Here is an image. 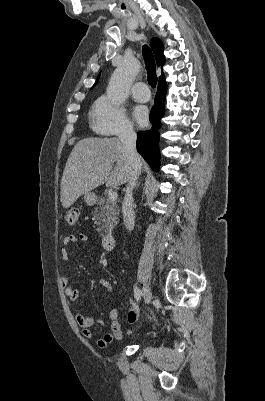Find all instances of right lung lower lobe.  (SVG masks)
<instances>
[{"label":"right lung lower lobe","instance_id":"right-lung-lower-lobe-1","mask_svg":"<svg viewBox=\"0 0 265 401\" xmlns=\"http://www.w3.org/2000/svg\"><path fill=\"white\" fill-rule=\"evenodd\" d=\"M166 91V83H159L155 104L150 113V122L153 127L148 131H140L137 134V150L154 171H159V133L157 130L160 125V119L165 112Z\"/></svg>","mask_w":265,"mask_h":401}]
</instances>
